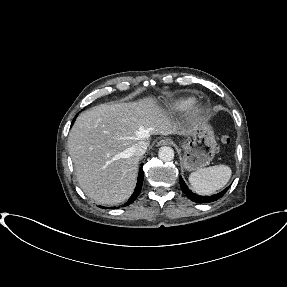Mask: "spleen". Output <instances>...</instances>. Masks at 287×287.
<instances>
[{"label": "spleen", "instance_id": "spleen-1", "mask_svg": "<svg viewBox=\"0 0 287 287\" xmlns=\"http://www.w3.org/2000/svg\"><path fill=\"white\" fill-rule=\"evenodd\" d=\"M232 171L227 165H215L190 174L192 189L200 195H210L223 188L230 180Z\"/></svg>", "mask_w": 287, "mask_h": 287}]
</instances>
